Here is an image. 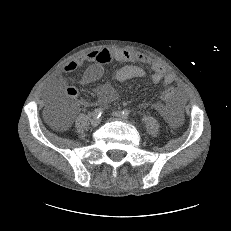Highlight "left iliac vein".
I'll return each instance as SVG.
<instances>
[{
    "label": "left iliac vein",
    "mask_w": 231,
    "mask_h": 231,
    "mask_svg": "<svg viewBox=\"0 0 231 231\" xmlns=\"http://www.w3.org/2000/svg\"><path fill=\"white\" fill-rule=\"evenodd\" d=\"M113 116H114V118L117 119V120L126 122V119L124 118V116L122 115L121 112L114 111V112H113Z\"/></svg>",
    "instance_id": "left-iliac-vein-1"
}]
</instances>
